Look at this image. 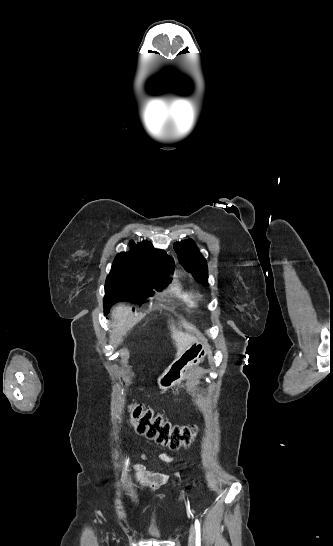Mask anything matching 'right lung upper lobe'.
I'll return each mask as SVG.
<instances>
[{
	"label": "right lung upper lobe",
	"instance_id": "obj_1",
	"mask_svg": "<svg viewBox=\"0 0 333 546\" xmlns=\"http://www.w3.org/2000/svg\"><path fill=\"white\" fill-rule=\"evenodd\" d=\"M132 250L116 256L114 263L122 266L126 271L153 276L157 272V266L161 263L174 264L172 257L162 250H156L148 241L136 245L130 242Z\"/></svg>",
	"mask_w": 333,
	"mask_h": 546
}]
</instances>
